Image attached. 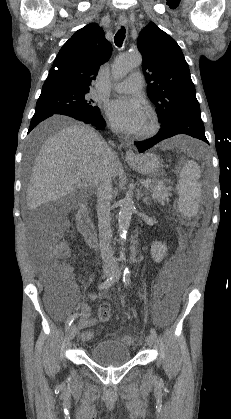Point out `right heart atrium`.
<instances>
[{"label": "right heart atrium", "instance_id": "1", "mask_svg": "<svg viewBox=\"0 0 231 419\" xmlns=\"http://www.w3.org/2000/svg\"><path fill=\"white\" fill-rule=\"evenodd\" d=\"M111 128H112V129H115V127H114L113 125H111Z\"/></svg>", "mask_w": 231, "mask_h": 419}]
</instances>
